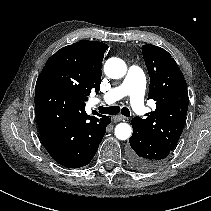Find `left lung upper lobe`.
Masks as SVG:
<instances>
[{"label": "left lung upper lobe", "mask_w": 211, "mask_h": 211, "mask_svg": "<svg viewBox=\"0 0 211 211\" xmlns=\"http://www.w3.org/2000/svg\"><path fill=\"white\" fill-rule=\"evenodd\" d=\"M143 58L150 76L148 99L156 101V109L146 119L134 117L148 136L174 150L183 131L188 110V91L184 76L175 60L155 45L142 46Z\"/></svg>", "instance_id": "1"}]
</instances>
